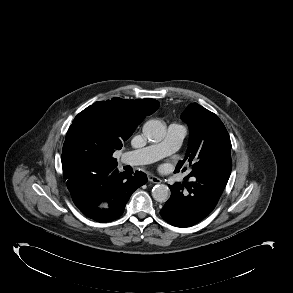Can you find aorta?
Listing matches in <instances>:
<instances>
[{
  "label": "aorta",
  "instance_id": "1",
  "mask_svg": "<svg viewBox=\"0 0 293 293\" xmlns=\"http://www.w3.org/2000/svg\"><path fill=\"white\" fill-rule=\"evenodd\" d=\"M144 136L152 142H160L166 135L165 125L160 120H149L143 126ZM170 196V190L167 185L158 184L152 189V197L157 202H166Z\"/></svg>",
  "mask_w": 293,
  "mask_h": 293
}]
</instances>
